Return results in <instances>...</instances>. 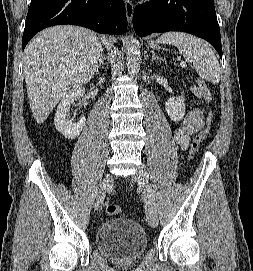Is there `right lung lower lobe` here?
I'll return each mask as SVG.
<instances>
[{
    "label": "right lung lower lobe",
    "mask_w": 253,
    "mask_h": 271,
    "mask_svg": "<svg viewBox=\"0 0 253 271\" xmlns=\"http://www.w3.org/2000/svg\"><path fill=\"white\" fill-rule=\"evenodd\" d=\"M59 24L123 34L127 29L125 5L123 0H32L25 22L23 49L36 33Z\"/></svg>",
    "instance_id": "obj_1"
}]
</instances>
